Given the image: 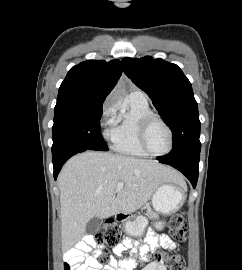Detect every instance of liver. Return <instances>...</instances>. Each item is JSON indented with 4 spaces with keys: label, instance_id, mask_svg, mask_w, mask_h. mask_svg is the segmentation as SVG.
Instances as JSON below:
<instances>
[{
    "label": "liver",
    "instance_id": "obj_1",
    "mask_svg": "<svg viewBox=\"0 0 242 270\" xmlns=\"http://www.w3.org/2000/svg\"><path fill=\"white\" fill-rule=\"evenodd\" d=\"M119 182L125 186L116 192ZM164 183L185 185L178 172L153 160L96 151L73 156L58 177L63 247L81 240L93 217L133 213Z\"/></svg>",
    "mask_w": 242,
    "mask_h": 270
}]
</instances>
